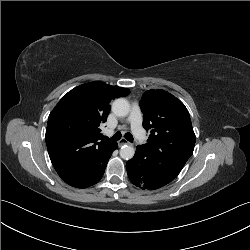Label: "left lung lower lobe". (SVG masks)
<instances>
[{
  "label": "left lung lower lobe",
  "mask_w": 250,
  "mask_h": 250,
  "mask_svg": "<svg viewBox=\"0 0 250 250\" xmlns=\"http://www.w3.org/2000/svg\"><path fill=\"white\" fill-rule=\"evenodd\" d=\"M126 169L135 186L154 190L171 182L182 168L165 160H153L145 148L137 146L134 157L126 163Z\"/></svg>",
  "instance_id": "left-lung-lower-lobe-1"
}]
</instances>
